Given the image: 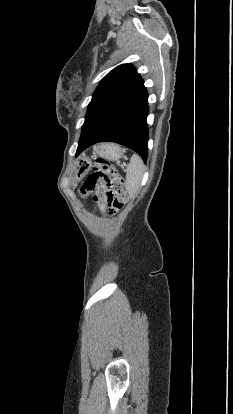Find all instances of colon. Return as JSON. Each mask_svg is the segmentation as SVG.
<instances>
[{"label": "colon", "mask_w": 233, "mask_h": 414, "mask_svg": "<svg viewBox=\"0 0 233 414\" xmlns=\"http://www.w3.org/2000/svg\"><path fill=\"white\" fill-rule=\"evenodd\" d=\"M95 191V200L101 208L113 212L127 200L126 183L115 167L105 159H97L87 177L83 192Z\"/></svg>", "instance_id": "obj_1"}]
</instances>
